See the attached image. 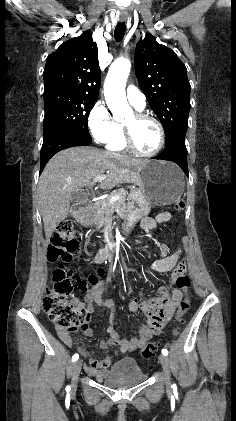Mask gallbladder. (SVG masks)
<instances>
[{
  "label": "gallbladder",
  "instance_id": "1",
  "mask_svg": "<svg viewBox=\"0 0 236 421\" xmlns=\"http://www.w3.org/2000/svg\"><path fill=\"white\" fill-rule=\"evenodd\" d=\"M76 200H80V198H78V194H72L71 202H76Z\"/></svg>",
  "mask_w": 236,
  "mask_h": 421
}]
</instances>
